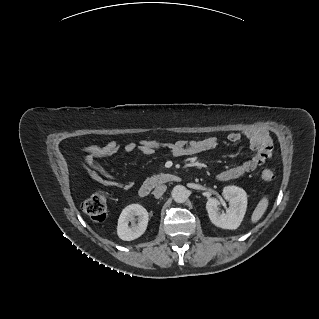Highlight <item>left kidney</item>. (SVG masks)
I'll list each match as a JSON object with an SVG mask.
<instances>
[{
    "instance_id": "left-kidney-1",
    "label": "left kidney",
    "mask_w": 319,
    "mask_h": 319,
    "mask_svg": "<svg viewBox=\"0 0 319 319\" xmlns=\"http://www.w3.org/2000/svg\"><path fill=\"white\" fill-rule=\"evenodd\" d=\"M222 195L229 202L226 212H220V201L217 198H209L206 203V210L211 222L222 229H237L246 213L247 194L237 186H226Z\"/></svg>"
}]
</instances>
